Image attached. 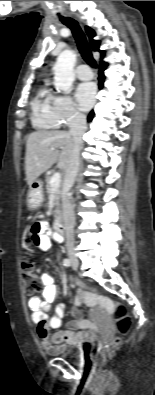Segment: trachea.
<instances>
[{
	"instance_id": "obj_1",
	"label": "trachea",
	"mask_w": 155,
	"mask_h": 395,
	"mask_svg": "<svg viewBox=\"0 0 155 395\" xmlns=\"http://www.w3.org/2000/svg\"><path fill=\"white\" fill-rule=\"evenodd\" d=\"M59 18L63 24H65L68 28L71 29L72 34L76 40L78 50L80 51L83 59L90 66L96 68L97 67L96 61L94 60V58L92 56V52L89 48V44L87 42L86 36L83 33L79 24L75 20H73L72 18H69V17L60 16Z\"/></svg>"
}]
</instances>
